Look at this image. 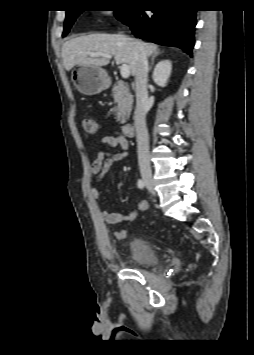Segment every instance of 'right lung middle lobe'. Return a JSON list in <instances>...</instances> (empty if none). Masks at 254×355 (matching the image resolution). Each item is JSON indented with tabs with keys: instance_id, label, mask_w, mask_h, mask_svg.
<instances>
[{
	"instance_id": "right-lung-middle-lobe-1",
	"label": "right lung middle lobe",
	"mask_w": 254,
	"mask_h": 355,
	"mask_svg": "<svg viewBox=\"0 0 254 355\" xmlns=\"http://www.w3.org/2000/svg\"><path fill=\"white\" fill-rule=\"evenodd\" d=\"M130 11H131L130 8L118 10V11H115V16L117 19L120 20V19L124 18ZM80 13H82V11H67L65 24H64L63 36L67 35L72 24L74 23L76 18L80 15Z\"/></svg>"
}]
</instances>
